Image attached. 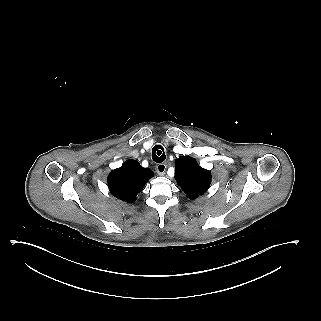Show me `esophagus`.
Masks as SVG:
<instances>
[{"instance_id": "34e87169", "label": "esophagus", "mask_w": 321, "mask_h": 321, "mask_svg": "<svg viewBox=\"0 0 321 321\" xmlns=\"http://www.w3.org/2000/svg\"><path fill=\"white\" fill-rule=\"evenodd\" d=\"M166 168H167V164H165V163H160V164L157 165V167H156L157 173H158L160 176H163V175L165 174Z\"/></svg>"}]
</instances>
